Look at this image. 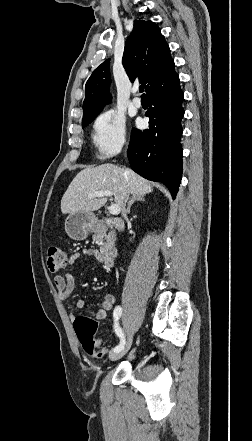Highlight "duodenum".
<instances>
[{"label":"duodenum","instance_id":"410a0bca","mask_svg":"<svg viewBox=\"0 0 252 441\" xmlns=\"http://www.w3.org/2000/svg\"><path fill=\"white\" fill-rule=\"evenodd\" d=\"M105 221H106V223H108L109 225H111V226H113L115 228H118V229H123L124 228V223L119 218H108ZM116 255H117V252L114 249H109V250L105 251L102 254L103 264L106 267H111L113 265V263H114Z\"/></svg>","mask_w":252,"mask_h":441}]
</instances>
